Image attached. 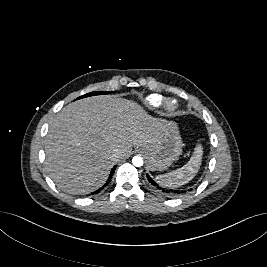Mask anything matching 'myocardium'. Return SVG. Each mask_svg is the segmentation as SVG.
Returning a JSON list of instances; mask_svg holds the SVG:
<instances>
[{"instance_id": "f54148a6", "label": "myocardium", "mask_w": 267, "mask_h": 267, "mask_svg": "<svg viewBox=\"0 0 267 267\" xmlns=\"http://www.w3.org/2000/svg\"><path fill=\"white\" fill-rule=\"evenodd\" d=\"M178 107L177 101L175 99H167L163 103V110L166 114H173Z\"/></svg>"}]
</instances>
